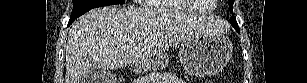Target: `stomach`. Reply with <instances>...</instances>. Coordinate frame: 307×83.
Returning a JSON list of instances; mask_svg holds the SVG:
<instances>
[{"label":"stomach","instance_id":"obj_1","mask_svg":"<svg viewBox=\"0 0 307 83\" xmlns=\"http://www.w3.org/2000/svg\"><path fill=\"white\" fill-rule=\"evenodd\" d=\"M232 56V43L223 35L200 36L182 43L180 63L186 73L197 77L218 73ZM168 64L167 56L160 54L136 66L137 71H157Z\"/></svg>","mask_w":307,"mask_h":83}]
</instances>
